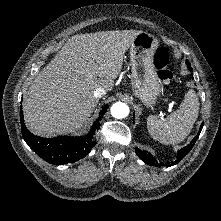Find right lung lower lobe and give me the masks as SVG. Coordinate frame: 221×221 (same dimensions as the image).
Returning <instances> with one entry per match:
<instances>
[{
  "mask_svg": "<svg viewBox=\"0 0 221 221\" xmlns=\"http://www.w3.org/2000/svg\"><path fill=\"white\" fill-rule=\"evenodd\" d=\"M108 105L103 106L100 116L94 122L90 132L82 137L43 138L33 135L25 126L23 113L20 112L22 136L29 147L50 164L62 165L84 158L94 147V132L99 129V121L106 113Z\"/></svg>",
  "mask_w": 221,
  "mask_h": 221,
  "instance_id": "right-lung-lower-lobe-1",
  "label": "right lung lower lobe"
}]
</instances>
